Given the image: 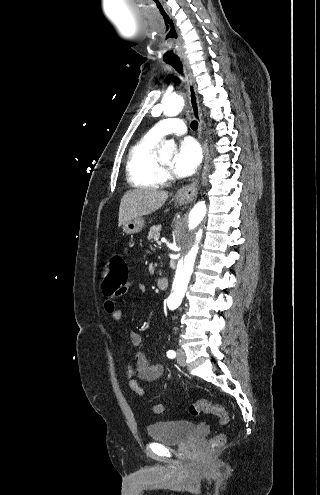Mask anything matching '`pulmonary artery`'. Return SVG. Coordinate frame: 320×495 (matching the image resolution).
Listing matches in <instances>:
<instances>
[{
  "mask_svg": "<svg viewBox=\"0 0 320 495\" xmlns=\"http://www.w3.org/2000/svg\"><path fill=\"white\" fill-rule=\"evenodd\" d=\"M185 132H186V126L183 120L173 117L158 122L149 131V133L152 136L158 139H161L169 134L181 135L184 134Z\"/></svg>",
  "mask_w": 320,
  "mask_h": 495,
  "instance_id": "e3ab8cb5",
  "label": "pulmonary artery"
}]
</instances>
